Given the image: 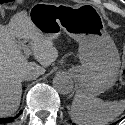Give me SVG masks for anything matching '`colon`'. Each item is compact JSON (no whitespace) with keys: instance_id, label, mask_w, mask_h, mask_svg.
Listing matches in <instances>:
<instances>
[{"instance_id":"1","label":"colon","mask_w":125,"mask_h":125,"mask_svg":"<svg viewBox=\"0 0 125 125\" xmlns=\"http://www.w3.org/2000/svg\"><path fill=\"white\" fill-rule=\"evenodd\" d=\"M120 82L121 84L125 85V44L123 47V65L120 72Z\"/></svg>"}]
</instances>
